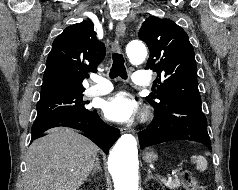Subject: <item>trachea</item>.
<instances>
[{"mask_svg": "<svg viewBox=\"0 0 238 190\" xmlns=\"http://www.w3.org/2000/svg\"><path fill=\"white\" fill-rule=\"evenodd\" d=\"M110 78L120 76L122 79H127V72L124 66V58L121 54L113 53V64L109 73Z\"/></svg>", "mask_w": 238, "mask_h": 190, "instance_id": "obj_1", "label": "trachea"}]
</instances>
